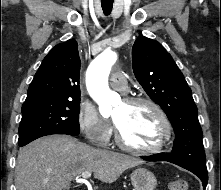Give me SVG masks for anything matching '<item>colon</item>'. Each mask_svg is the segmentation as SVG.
<instances>
[{
	"instance_id": "5ec220e1",
	"label": "colon",
	"mask_w": 221,
	"mask_h": 190,
	"mask_svg": "<svg viewBox=\"0 0 221 190\" xmlns=\"http://www.w3.org/2000/svg\"><path fill=\"white\" fill-rule=\"evenodd\" d=\"M188 183L184 179H176L169 184V190H187Z\"/></svg>"
}]
</instances>
